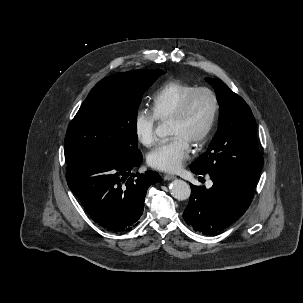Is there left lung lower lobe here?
Returning a JSON list of instances; mask_svg holds the SVG:
<instances>
[{
	"instance_id": "obj_1",
	"label": "left lung lower lobe",
	"mask_w": 303,
	"mask_h": 303,
	"mask_svg": "<svg viewBox=\"0 0 303 303\" xmlns=\"http://www.w3.org/2000/svg\"><path fill=\"white\" fill-rule=\"evenodd\" d=\"M195 174H201L193 169ZM213 186L191 184V196L183 217L195 231L216 234L241 217L248 209L255 187L221 172H209ZM203 175V174H201Z\"/></svg>"
}]
</instances>
